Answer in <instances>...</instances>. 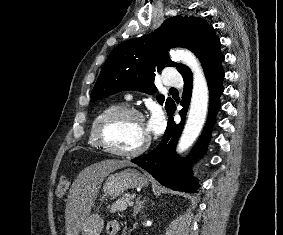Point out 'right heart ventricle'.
<instances>
[{"instance_id": "right-heart-ventricle-1", "label": "right heart ventricle", "mask_w": 283, "mask_h": 235, "mask_svg": "<svg viewBox=\"0 0 283 235\" xmlns=\"http://www.w3.org/2000/svg\"><path fill=\"white\" fill-rule=\"evenodd\" d=\"M122 107L121 104L119 103H109L104 105L102 108H100L95 115L93 116L91 122H90V126H89V130H88V137H87V143L88 146L93 148V149H100V146L98 145L96 139H95V128L96 125L98 123V121L100 120V118L106 114L107 112Z\"/></svg>"}]
</instances>
